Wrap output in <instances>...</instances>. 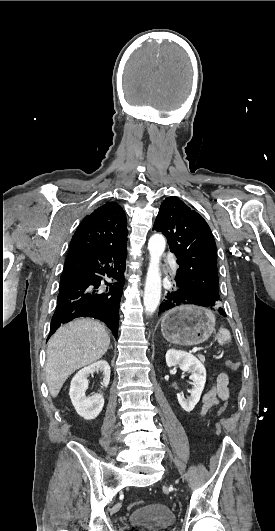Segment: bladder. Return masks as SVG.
<instances>
[{"mask_svg":"<svg viewBox=\"0 0 275 531\" xmlns=\"http://www.w3.org/2000/svg\"><path fill=\"white\" fill-rule=\"evenodd\" d=\"M135 531H162L175 525L176 518L165 503H147L135 509L130 516Z\"/></svg>","mask_w":275,"mask_h":531,"instance_id":"31cf9c89","label":"bladder"}]
</instances>
